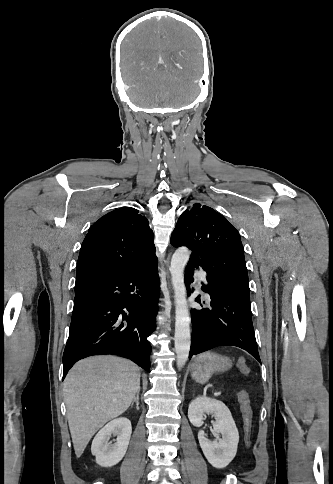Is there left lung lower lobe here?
<instances>
[{
	"label": "left lung lower lobe",
	"mask_w": 333,
	"mask_h": 484,
	"mask_svg": "<svg viewBox=\"0 0 333 484\" xmlns=\"http://www.w3.org/2000/svg\"><path fill=\"white\" fill-rule=\"evenodd\" d=\"M177 245L174 247H180ZM207 272L212 308L193 309V335L189 357L217 346L240 347L260 363L250 304V290L244 252L236 243L219 244L201 254L192 252L185 271L190 290L194 268ZM196 302L201 303L200 296Z\"/></svg>",
	"instance_id": "obj_1"
}]
</instances>
